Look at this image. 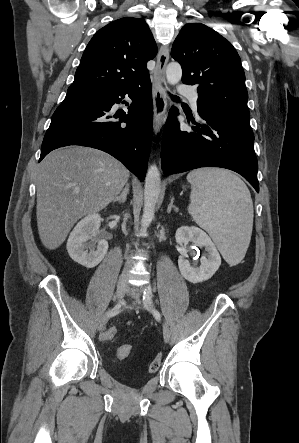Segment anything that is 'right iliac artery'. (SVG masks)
<instances>
[{
  "label": "right iliac artery",
  "instance_id": "82829eb1",
  "mask_svg": "<svg viewBox=\"0 0 299 443\" xmlns=\"http://www.w3.org/2000/svg\"><path fill=\"white\" fill-rule=\"evenodd\" d=\"M122 303L123 302L118 303L112 310L107 312V315L109 317H112V316H115L116 314H118Z\"/></svg>",
  "mask_w": 299,
  "mask_h": 443
}]
</instances>
